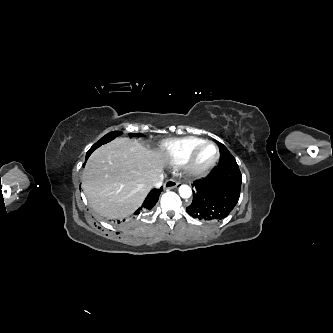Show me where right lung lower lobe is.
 <instances>
[{
	"label": "right lung lower lobe",
	"mask_w": 333,
	"mask_h": 333,
	"mask_svg": "<svg viewBox=\"0 0 333 333\" xmlns=\"http://www.w3.org/2000/svg\"><path fill=\"white\" fill-rule=\"evenodd\" d=\"M94 150H95L94 147H91L89 149V151L86 154L85 163H86L88 157L90 156V154ZM85 163H84V165H85ZM161 191H162V187L160 189L151 190L150 193L148 194V196L146 197L145 201L143 202L142 206L136 210L135 214L138 215L140 213H145V212L151 210L157 203Z\"/></svg>",
	"instance_id": "right-lung-lower-lobe-1"
}]
</instances>
